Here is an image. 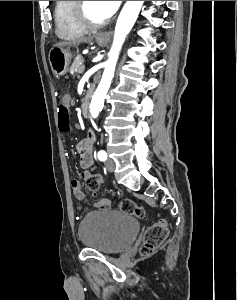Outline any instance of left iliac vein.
I'll use <instances>...</instances> for the list:
<instances>
[{
  "instance_id": "1",
  "label": "left iliac vein",
  "mask_w": 237,
  "mask_h": 300,
  "mask_svg": "<svg viewBox=\"0 0 237 300\" xmlns=\"http://www.w3.org/2000/svg\"><path fill=\"white\" fill-rule=\"evenodd\" d=\"M105 165H106V169L109 172H113L114 171L115 164H114V161L112 159H107L106 162H105Z\"/></svg>"
}]
</instances>
